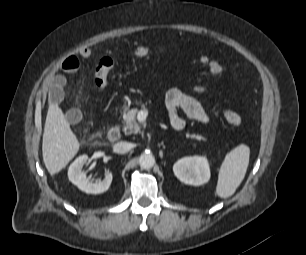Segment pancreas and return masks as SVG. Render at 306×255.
I'll list each match as a JSON object with an SVG mask.
<instances>
[{
	"mask_svg": "<svg viewBox=\"0 0 306 255\" xmlns=\"http://www.w3.org/2000/svg\"><path fill=\"white\" fill-rule=\"evenodd\" d=\"M139 110L137 108H133L131 110L124 111L123 119H124V127L123 132L126 135L137 134L140 132V124L136 120V116ZM186 138H191L196 141H206V138L199 134H189L186 133Z\"/></svg>",
	"mask_w": 306,
	"mask_h": 255,
	"instance_id": "obj_1",
	"label": "pancreas"
}]
</instances>
